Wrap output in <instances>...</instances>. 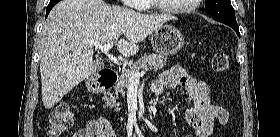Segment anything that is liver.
<instances>
[{"label":"liver","instance_id":"1","mask_svg":"<svg viewBox=\"0 0 280 137\" xmlns=\"http://www.w3.org/2000/svg\"><path fill=\"white\" fill-rule=\"evenodd\" d=\"M173 17L142 14L103 0H62L51 10L40 40L42 101L54 107L64 95L94 73L93 43L115 42L124 57ZM124 38L120 39V36Z\"/></svg>","mask_w":280,"mask_h":137}]
</instances>
